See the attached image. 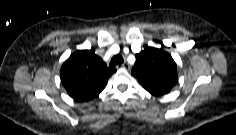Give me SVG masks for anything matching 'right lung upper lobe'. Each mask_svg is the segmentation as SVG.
<instances>
[{
  "instance_id": "cb5924a9",
  "label": "right lung upper lobe",
  "mask_w": 236,
  "mask_h": 135,
  "mask_svg": "<svg viewBox=\"0 0 236 135\" xmlns=\"http://www.w3.org/2000/svg\"><path fill=\"white\" fill-rule=\"evenodd\" d=\"M115 72V68L107 67L94 49H90L73 53L62 65L60 76L69 95L85 102L98 96Z\"/></svg>"
}]
</instances>
